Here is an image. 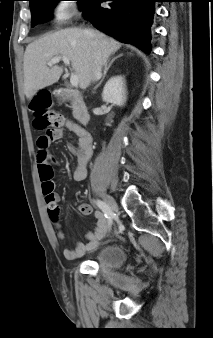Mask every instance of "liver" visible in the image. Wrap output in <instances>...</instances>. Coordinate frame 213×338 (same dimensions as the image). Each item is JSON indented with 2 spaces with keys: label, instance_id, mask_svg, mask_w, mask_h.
<instances>
[{
  "label": "liver",
  "instance_id": "1",
  "mask_svg": "<svg viewBox=\"0 0 213 338\" xmlns=\"http://www.w3.org/2000/svg\"><path fill=\"white\" fill-rule=\"evenodd\" d=\"M121 47V43L94 30L71 28L49 33L30 43L24 54V93L31 99L39 90L56 83L63 68L47 67L54 57H67L75 70L81 89L92 81L95 53L105 60Z\"/></svg>",
  "mask_w": 213,
  "mask_h": 338
}]
</instances>
